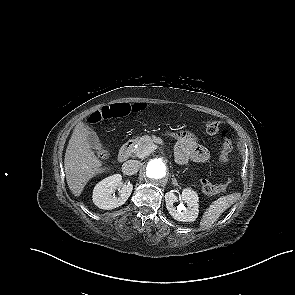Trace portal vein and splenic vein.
<instances>
[{
    "mask_svg": "<svg viewBox=\"0 0 295 295\" xmlns=\"http://www.w3.org/2000/svg\"><path fill=\"white\" fill-rule=\"evenodd\" d=\"M157 148L156 145H152L148 148V151L152 152L153 150H155Z\"/></svg>",
    "mask_w": 295,
    "mask_h": 295,
    "instance_id": "obj_1",
    "label": "portal vein and splenic vein"
}]
</instances>
